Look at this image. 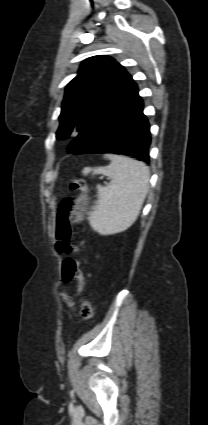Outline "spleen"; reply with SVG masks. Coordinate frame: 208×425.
<instances>
[{
  "mask_svg": "<svg viewBox=\"0 0 208 425\" xmlns=\"http://www.w3.org/2000/svg\"><path fill=\"white\" fill-rule=\"evenodd\" d=\"M111 163L104 167H85L83 175L103 174L111 179L97 185L98 200L89 213L91 227L102 235L125 231L136 221L149 189V168L129 157L106 154Z\"/></svg>",
  "mask_w": 208,
  "mask_h": 425,
  "instance_id": "1",
  "label": "spleen"
}]
</instances>
